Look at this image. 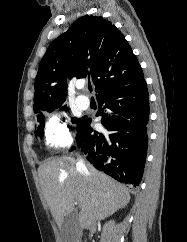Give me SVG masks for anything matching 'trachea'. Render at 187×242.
<instances>
[{"mask_svg": "<svg viewBox=\"0 0 187 242\" xmlns=\"http://www.w3.org/2000/svg\"><path fill=\"white\" fill-rule=\"evenodd\" d=\"M88 89L90 92H92V86L89 84Z\"/></svg>", "mask_w": 187, "mask_h": 242, "instance_id": "trachea-1", "label": "trachea"}]
</instances>
